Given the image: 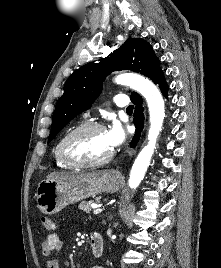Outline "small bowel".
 <instances>
[{"mask_svg":"<svg viewBox=\"0 0 221 268\" xmlns=\"http://www.w3.org/2000/svg\"><path fill=\"white\" fill-rule=\"evenodd\" d=\"M63 247V241L60 235L53 229L49 231L41 243L42 254L46 257L44 268H60L59 260L52 257V254L58 253ZM91 268H102L93 266Z\"/></svg>","mask_w":221,"mask_h":268,"instance_id":"small-bowel-1","label":"small bowel"}]
</instances>
